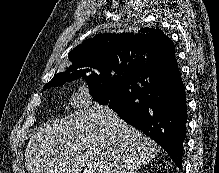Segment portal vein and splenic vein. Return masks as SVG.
I'll return each instance as SVG.
<instances>
[{"instance_id":"1","label":"portal vein and splenic vein","mask_w":219,"mask_h":173,"mask_svg":"<svg viewBox=\"0 0 219 173\" xmlns=\"http://www.w3.org/2000/svg\"><path fill=\"white\" fill-rule=\"evenodd\" d=\"M87 173H91V170L89 169V170H87Z\"/></svg>"}]
</instances>
